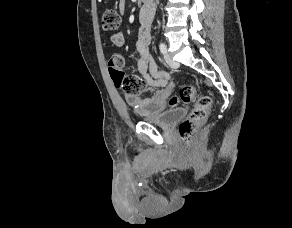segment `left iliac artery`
Here are the masks:
<instances>
[{"label":"left iliac artery","instance_id":"obj_1","mask_svg":"<svg viewBox=\"0 0 292 228\" xmlns=\"http://www.w3.org/2000/svg\"><path fill=\"white\" fill-rule=\"evenodd\" d=\"M159 49H160L161 53H163V54L167 53V47L164 43H160Z\"/></svg>","mask_w":292,"mask_h":228}]
</instances>
